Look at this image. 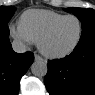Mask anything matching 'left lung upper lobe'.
<instances>
[{
	"mask_svg": "<svg viewBox=\"0 0 95 95\" xmlns=\"http://www.w3.org/2000/svg\"><path fill=\"white\" fill-rule=\"evenodd\" d=\"M67 12L75 14L82 23V35L80 40L95 36V10L83 8H67Z\"/></svg>",
	"mask_w": 95,
	"mask_h": 95,
	"instance_id": "obj_1",
	"label": "left lung upper lobe"
}]
</instances>
